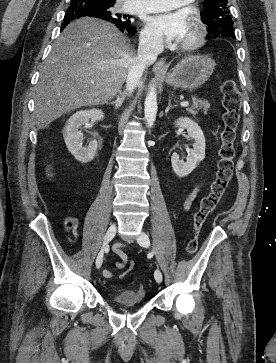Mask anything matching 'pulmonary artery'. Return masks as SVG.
<instances>
[{"mask_svg": "<svg viewBox=\"0 0 276 363\" xmlns=\"http://www.w3.org/2000/svg\"><path fill=\"white\" fill-rule=\"evenodd\" d=\"M193 0H127L125 8L130 13L144 14L178 8Z\"/></svg>", "mask_w": 276, "mask_h": 363, "instance_id": "e3ab8cb5", "label": "pulmonary artery"}]
</instances>
